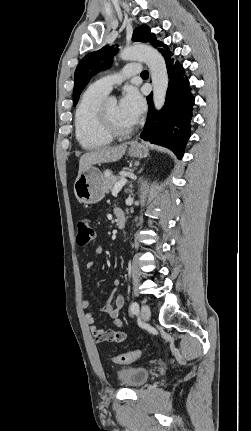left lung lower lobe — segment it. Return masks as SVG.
I'll return each instance as SVG.
<instances>
[{"instance_id": "obj_1", "label": "left lung lower lobe", "mask_w": 251, "mask_h": 431, "mask_svg": "<svg viewBox=\"0 0 251 431\" xmlns=\"http://www.w3.org/2000/svg\"><path fill=\"white\" fill-rule=\"evenodd\" d=\"M153 46L163 47L158 48V50L166 62L169 85L165 105L160 112L154 110L152 94L147 97L148 117L140 137L151 143L165 146L179 158H182L186 142L190 136L194 97L188 87L189 81L184 76L182 64L174 62L173 54L162 42L156 40Z\"/></svg>"}]
</instances>
